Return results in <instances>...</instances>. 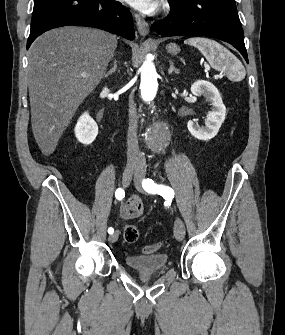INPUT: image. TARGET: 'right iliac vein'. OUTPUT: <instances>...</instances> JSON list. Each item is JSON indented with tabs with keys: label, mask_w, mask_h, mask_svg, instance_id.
I'll return each instance as SVG.
<instances>
[{
	"label": "right iliac vein",
	"mask_w": 285,
	"mask_h": 335,
	"mask_svg": "<svg viewBox=\"0 0 285 335\" xmlns=\"http://www.w3.org/2000/svg\"><path fill=\"white\" fill-rule=\"evenodd\" d=\"M137 175V173L135 172V170L131 169V168H127L125 169V171L123 172L122 175V183L124 187H128L131 180L133 179V177H135ZM119 236L118 231H116L114 234L109 236V242L114 243L117 241Z\"/></svg>",
	"instance_id": "63e3f726"
}]
</instances>
